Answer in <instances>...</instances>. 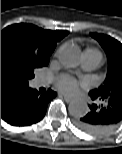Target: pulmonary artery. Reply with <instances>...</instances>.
<instances>
[{
	"mask_svg": "<svg viewBox=\"0 0 122 154\" xmlns=\"http://www.w3.org/2000/svg\"><path fill=\"white\" fill-rule=\"evenodd\" d=\"M102 63V55L99 51L94 49H87L84 53V60L82 67L84 70L90 71L99 67ZM44 84L43 80H37L36 85L41 86Z\"/></svg>",
	"mask_w": 122,
	"mask_h": 154,
	"instance_id": "e3ab8cb5",
	"label": "pulmonary artery"
}]
</instances>
